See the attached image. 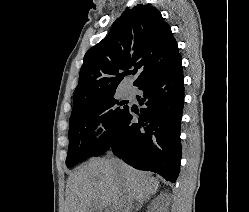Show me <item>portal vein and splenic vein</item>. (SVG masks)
Returning a JSON list of instances; mask_svg holds the SVG:
<instances>
[{"mask_svg": "<svg viewBox=\"0 0 249 212\" xmlns=\"http://www.w3.org/2000/svg\"><path fill=\"white\" fill-rule=\"evenodd\" d=\"M95 206H100V204H95ZM100 208H101V206H100ZM106 212H112V210H106ZM113 212H114V210H113Z\"/></svg>", "mask_w": 249, "mask_h": 212, "instance_id": "portal-vein-and-splenic-vein-1", "label": "portal vein and splenic vein"}]
</instances>
